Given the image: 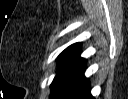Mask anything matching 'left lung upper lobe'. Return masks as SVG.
<instances>
[{
  "mask_svg": "<svg viewBox=\"0 0 128 99\" xmlns=\"http://www.w3.org/2000/svg\"><path fill=\"white\" fill-rule=\"evenodd\" d=\"M81 43H75L65 49L59 56V66H63L70 58H72L80 49Z\"/></svg>",
  "mask_w": 128,
  "mask_h": 99,
  "instance_id": "obj_1",
  "label": "left lung upper lobe"
}]
</instances>
